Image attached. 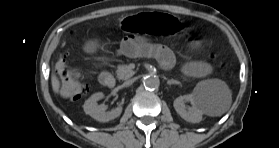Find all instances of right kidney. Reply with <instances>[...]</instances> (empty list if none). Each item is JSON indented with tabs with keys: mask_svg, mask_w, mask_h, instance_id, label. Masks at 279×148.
Segmentation results:
<instances>
[{
	"mask_svg": "<svg viewBox=\"0 0 279 148\" xmlns=\"http://www.w3.org/2000/svg\"><path fill=\"white\" fill-rule=\"evenodd\" d=\"M104 97V94L102 92H98L93 94L90 98H88L84 105V111L86 114L90 115L92 118H94L97 121L100 122H108L110 120H113L120 116L122 113V106L119 105L117 108L106 112L105 111V105L101 104L98 105L97 101L102 99Z\"/></svg>",
	"mask_w": 279,
	"mask_h": 148,
	"instance_id": "ca27d5eb",
	"label": "right kidney"
}]
</instances>
